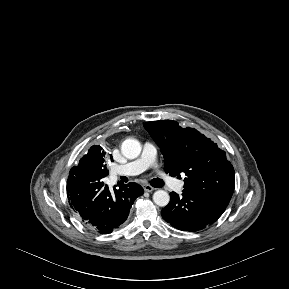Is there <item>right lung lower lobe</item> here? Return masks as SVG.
<instances>
[{"label":"right lung lower lobe","instance_id":"1","mask_svg":"<svg viewBox=\"0 0 289 289\" xmlns=\"http://www.w3.org/2000/svg\"><path fill=\"white\" fill-rule=\"evenodd\" d=\"M144 193L136 183H128L114 193L102 178L73 167L67 180V195L71 207L90 229L108 234L128 217L134 200Z\"/></svg>","mask_w":289,"mask_h":289}]
</instances>
